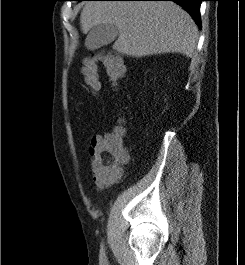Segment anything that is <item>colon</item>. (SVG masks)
I'll list each match as a JSON object with an SVG mask.
<instances>
[{
    "instance_id": "1",
    "label": "colon",
    "mask_w": 245,
    "mask_h": 265,
    "mask_svg": "<svg viewBox=\"0 0 245 265\" xmlns=\"http://www.w3.org/2000/svg\"><path fill=\"white\" fill-rule=\"evenodd\" d=\"M101 61L110 80L116 84L124 76L125 67L122 60L111 53L99 52L85 60L82 73L90 91L96 94L101 88L98 62ZM124 131L118 128L105 135L92 158L93 167L106 177L115 179L120 174L121 165L127 160L128 154L124 145Z\"/></svg>"
}]
</instances>
